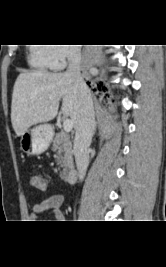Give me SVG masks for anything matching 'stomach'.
Masks as SVG:
<instances>
[{
  "instance_id": "1",
  "label": "stomach",
  "mask_w": 166,
  "mask_h": 267,
  "mask_svg": "<svg viewBox=\"0 0 166 267\" xmlns=\"http://www.w3.org/2000/svg\"><path fill=\"white\" fill-rule=\"evenodd\" d=\"M53 134L50 125H39L21 136V149L28 155H40L49 148Z\"/></svg>"
}]
</instances>
